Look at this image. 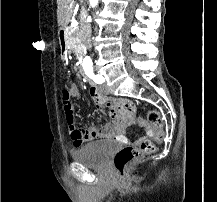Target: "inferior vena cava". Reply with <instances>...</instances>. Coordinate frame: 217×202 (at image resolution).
I'll use <instances>...</instances> for the list:
<instances>
[{
    "label": "inferior vena cava",
    "instance_id": "inferior-vena-cava-1",
    "mask_svg": "<svg viewBox=\"0 0 217 202\" xmlns=\"http://www.w3.org/2000/svg\"><path fill=\"white\" fill-rule=\"evenodd\" d=\"M83 38L88 50H90V48H92L91 32H85Z\"/></svg>",
    "mask_w": 217,
    "mask_h": 202
}]
</instances>
